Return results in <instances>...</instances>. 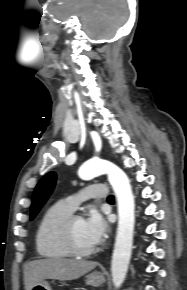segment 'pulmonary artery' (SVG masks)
<instances>
[{"mask_svg":"<svg viewBox=\"0 0 187 290\" xmlns=\"http://www.w3.org/2000/svg\"><path fill=\"white\" fill-rule=\"evenodd\" d=\"M108 197V190L104 185L90 184L79 192L73 193L68 196L64 202L69 208L75 210L79 204L87 198H102Z\"/></svg>","mask_w":187,"mask_h":290,"instance_id":"pulmonary-artery-1","label":"pulmonary artery"}]
</instances>
